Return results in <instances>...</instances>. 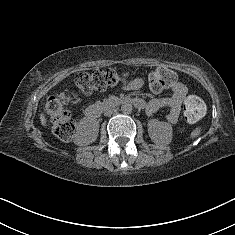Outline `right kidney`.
<instances>
[{"instance_id": "1", "label": "right kidney", "mask_w": 235, "mask_h": 235, "mask_svg": "<svg viewBox=\"0 0 235 235\" xmlns=\"http://www.w3.org/2000/svg\"><path fill=\"white\" fill-rule=\"evenodd\" d=\"M99 122L96 119L83 120L79 122L74 137V142L77 145H88L93 143L98 136Z\"/></svg>"}]
</instances>
